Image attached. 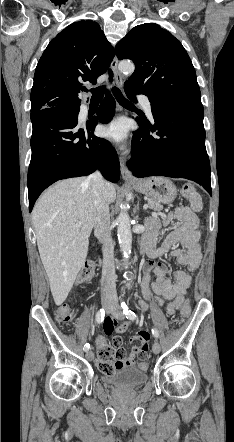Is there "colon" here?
<instances>
[{
    "label": "colon",
    "mask_w": 234,
    "mask_h": 442,
    "mask_svg": "<svg viewBox=\"0 0 234 442\" xmlns=\"http://www.w3.org/2000/svg\"><path fill=\"white\" fill-rule=\"evenodd\" d=\"M181 193L184 197L188 199L197 198L198 194L194 185L185 184ZM95 270V263L92 260H88L85 262L83 267L80 270L78 275V283L85 284L87 283L93 276ZM190 313V307L188 302L182 307L179 317L175 320L177 323L182 322L185 318L188 317ZM56 320L63 323L68 324L72 319V311L68 305L60 306L55 314ZM140 347H138L139 349ZM148 350V349H147ZM138 354V353H137ZM98 369L104 374H110L114 370L127 366L126 364V352L122 348L115 349L113 346L104 345L99 347V360L97 361ZM147 365L145 360L140 361L139 368H146Z\"/></svg>",
    "instance_id": "obj_1"
}]
</instances>
